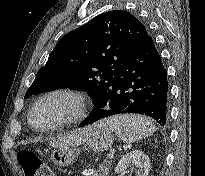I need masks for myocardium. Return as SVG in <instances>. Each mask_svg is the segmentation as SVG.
Returning a JSON list of instances; mask_svg holds the SVG:
<instances>
[{
  "instance_id": "myocardium-1",
  "label": "myocardium",
  "mask_w": 205,
  "mask_h": 176,
  "mask_svg": "<svg viewBox=\"0 0 205 176\" xmlns=\"http://www.w3.org/2000/svg\"><path fill=\"white\" fill-rule=\"evenodd\" d=\"M55 98H62L67 100L71 104V111L65 114L60 119H58L56 122L48 126L36 125L33 122V115L37 107ZM86 112H87L86 102L82 94H80L78 91L66 87L55 88L50 91H47L46 93H44L43 95H41L39 98L36 99V101L33 103L28 113V122L34 129L49 130V129L63 127L66 125L79 123L85 118Z\"/></svg>"
}]
</instances>
